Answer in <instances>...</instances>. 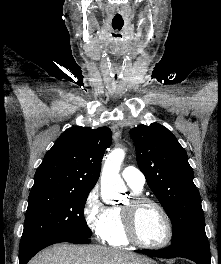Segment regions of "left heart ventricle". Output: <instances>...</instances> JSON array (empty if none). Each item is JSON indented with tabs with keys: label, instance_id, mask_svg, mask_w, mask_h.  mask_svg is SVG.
<instances>
[{
	"label": "left heart ventricle",
	"instance_id": "left-heart-ventricle-1",
	"mask_svg": "<svg viewBox=\"0 0 221 264\" xmlns=\"http://www.w3.org/2000/svg\"><path fill=\"white\" fill-rule=\"evenodd\" d=\"M136 227L139 238L148 244L161 243L167 235V226L162 214L150 204L138 210Z\"/></svg>",
	"mask_w": 221,
	"mask_h": 264
}]
</instances>
